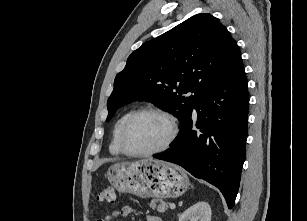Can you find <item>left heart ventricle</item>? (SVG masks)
<instances>
[{
	"label": "left heart ventricle",
	"instance_id": "left-heart-ventricle-1",
	"mask_svg": "<svg viewBox=\"0 0 307 221\" xmlns=\"http://www.w3.org/2000/svg\"><path fill=\"white\" fill-rule=\"evenodd\" d=\"M169 131L166 119L155 114H145L131 125L126 143L133 151H149L159 147L168 137Z\"/></svg>",
	"mask_w": 307,
	"mask_h": 221
}]
</instances>
